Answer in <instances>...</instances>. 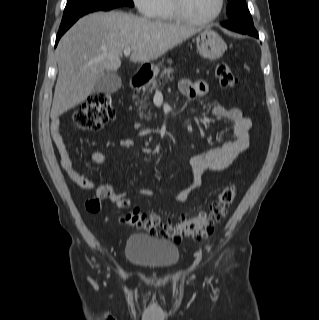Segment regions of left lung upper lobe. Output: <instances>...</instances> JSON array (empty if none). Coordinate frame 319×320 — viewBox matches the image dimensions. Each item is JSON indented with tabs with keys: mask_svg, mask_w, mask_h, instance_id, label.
I'll return each instance as SVG.
<instances>
[{
	"mask_svg": "<svg viewBox=\"0 0 319 320\" xmlns=\"http://www.w3.org/2000/svg\"><path fill=\"white\" fill-rule=\"evenodd\" d=\"M227 15L231 22L253 26L252 17L246 6L245 0H228Z\"/></svg>",
	"mask_w": 319,
	"mask_h": 320,
	"instance_id": "5c2ea615",
	"label": "left lung upper lobe"
}]
</instances>
